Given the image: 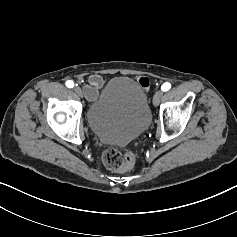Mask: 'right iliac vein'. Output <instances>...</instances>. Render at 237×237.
<instances>
[{"label": "right iliac vein", "instance_id": "63e3f726", "mask_svg": "<svg viewBox=\"0 0 237 237\" xmlns=\"http://www.w3.org/2000/svg\"><path fill=\"white\" fill-rule=\"evenodd\" d=\"M74 91L78 96H80V97L83 96L82 90L79 87H75Z\"/></svg>", "mask_w": 237, "mask_h": 237}]
</instances>
